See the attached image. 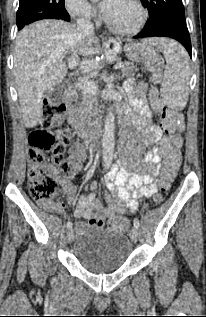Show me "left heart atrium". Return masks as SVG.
Segmentation results:
<instances>
[{
	"label": "left heart atrium",
	"mask_w": 206,
	"mask_h": 317,
	"mask_svg": "<svg viewBox=\"0 0 206 317\" xmlns=\"http://www.w3.org/2000/svg\"><path fill=\"white\" fill-rule=\"evenodd\" d=\"M113 0H101L100 2V9L102 10L103 14L106 16V13L111 8Z\"/></svg>",
	"instance_id": "left-heart-atrium-1"
}]
</instances>
